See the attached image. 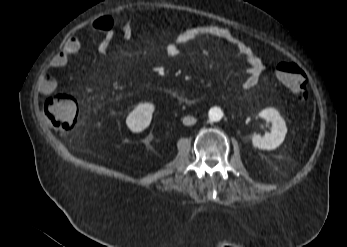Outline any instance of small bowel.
<instances>
[{
    "label": "small bowel",
    "instance_id": "small-bowel-1",
    "mask_svg": "<svg viewBox=\"0 0 347 247\" xmlns=\"http://www.w3.org/2000/svg\"><path fill=\"white\" fill-rule=\"evenodd\" d=\"M114 21L110 16H103L95 19L91 27L96 31L105 32V37L98 43L97 52L104 55L108 45L114 36ZM132 25H125L122 29V39L129 41L132 38ZM205 39L222 40L235 48L237 55L242 58L249 66L247 77L242 82V89L249 90L254 88L259 80V74L264 69L263 60L254 53L251 46L245 42L233 30L219 26L198 23H187L185 28L179 32L175 39L165 47V55L168 59L177 58L181 49L187 44ZM81 50V42L76 36L69 37L63 44L59 53L54 55L49 61V70H56L65 67L72 56ZM37 88L44 95L54 94L57 89V81L50 73L45 71L37 79Z\"/></svg>",
    "mask_w": 347,
    "mask_h": 247
}]
</instances>
